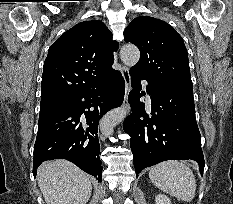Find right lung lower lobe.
Segmentation results:
<instances>
[{
  "mask_svg": "<svg viewBox=\"0 0 233 204\" xmlns=\"http://www.w3.org/2000/svg\"><path fill=\"white\" fill-rule=\"evenodd\" d=\"M124 94V79L119 71L113 70L95 87L71 96L55 112L40 118L34 145V177L42 162L61 158L100 182L103 167L99 158L98 123L106 112L122 104Z\"/></svg>",
  "mask_w": 233,
  "mask_h": 204,
  "instance_id": "right-lung-lower-lobe-1",
  "label": "right lung lower lobe"
}]
</instances>
